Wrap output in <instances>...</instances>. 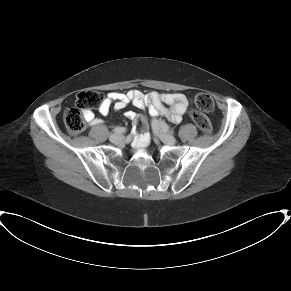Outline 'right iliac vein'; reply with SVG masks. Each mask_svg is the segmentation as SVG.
Segmentation results:
<instances>
[{
  "label": "right iliac vein",
  "instance_id": "obj_1",
  "mask_svg": "<svg viewBox=\"0 0 291 291\" xmlns=\"http://www.w3.org/2000/svg\"><path fill=\"white\" fill-rule=\"evenodd\" d=\"M109 140L112 143H118V142L123 140V136L120 135V134H113V135L110 136Z\"/></svg>",
  "mask_w": 291,
  "mask_h": 291
}]
</instances>
